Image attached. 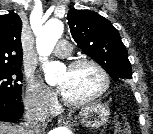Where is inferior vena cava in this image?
Here are the masks:
<instances>
[{
	"instance_id": "obj_1",
	"label": "inferior vena cava",
	"mask_w": 153,
	"mask_h": 134,
	"mask_svg": "<svg viewBox=\"0 0 153 134\" xmlns=\"http://www.w3.org/2000/svg\"><path fill=\"white\" fill-rule=\"evenodd\" d=\"M25 123L23 125L24 134H42L47 127V116L43 109L37 104H25Z\"/></svg>"
}]
</instances>
